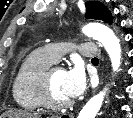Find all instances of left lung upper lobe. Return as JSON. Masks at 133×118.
I'll return each instance as SVG.
<instances>
[{"instance_id": "obj_1", "label": "left lung upper lobe", "mask_w": 133, "mask_h": 118, "mask_svg": "<svg viewBox=\"0 0 133 118\" xmlns=\"http://www.w3.org/2000/svg\"><path fill=\"white\" fill-rule=\"evenodd\" d=\"M86 14L85 17L88 19H98L109 24H112V15L108 9L100 2L92 1L86 2Z\"/></svg>"}]
</instances>
